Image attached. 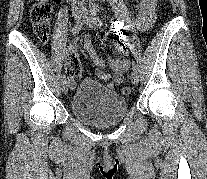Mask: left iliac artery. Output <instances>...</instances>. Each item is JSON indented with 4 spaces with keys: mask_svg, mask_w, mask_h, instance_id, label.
I'll list each match as a JSON object with an SVG mask.
<instances>
[{
    "mask_svg": "<svg viewBox=\"0 0 207 179\" xmlns=\"http://www.w3.org/2000/svg\"><path fill=\"white\" fill-rule=\"evenodd\" d=\"M94 23L97 25V26H101L103 25V22L101 21V19L99 17H96L95 20H94ZM132 69L133 71H136L138 68H137V65L135 64V62L133 61L132 62Z\"/></svg>",
    "mask_w": 207,
    "mask_h": 179,
    "instance_id": "44dca946",
    "label": "left iliac artery"
}]
</instances>
